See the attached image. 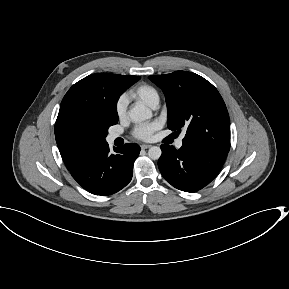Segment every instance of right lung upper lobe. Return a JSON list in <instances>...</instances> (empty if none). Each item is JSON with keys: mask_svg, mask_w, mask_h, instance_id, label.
<instances>
[{"mask_svg": "<svg viewBox=\"0 0 289 289\" xmlns=\"http://www.w3.org/2000/svg\"><path fill=\"white\" fill-rule=\"evenodd\" d=\"M139 79V76L97 73L83 78L69 89L61 102L55 123L56 142L68 169L74 168L85 156L103 146L86 149L78 145L75 138L77 128L94 127L105 113V104L113 91Z\"/></svg>", "mask_w": 289, "mask_h": 289, "instance_id": "obj_1", "label": "right lung upper lobe"}]
</instances>
